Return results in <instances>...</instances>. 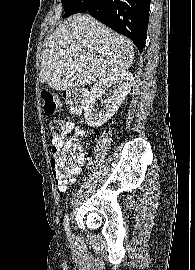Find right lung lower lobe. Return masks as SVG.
<instances>
[{
	"label": "right lung lower lobe",
	"instance_id": "1",
	"mask_svg": "<svg viewBox=\"0 0 195 270\" xmlns=\"http://www.w3.org/2000/svg\"><path fill=\"white\" fill-rule=\"evenodd\" d=\"M151 0H82L77 13H90L116 32L129 37L140 53L147 38Z\"/></svg>",
	"mask_w": 195,
	"mask_h": 270
}]
</instances>
